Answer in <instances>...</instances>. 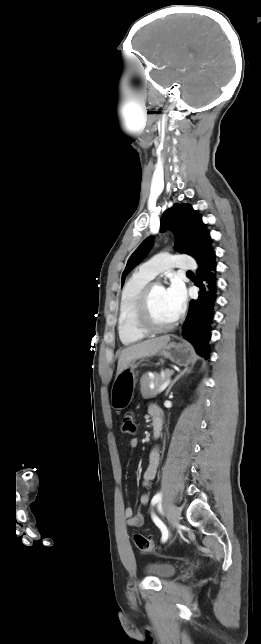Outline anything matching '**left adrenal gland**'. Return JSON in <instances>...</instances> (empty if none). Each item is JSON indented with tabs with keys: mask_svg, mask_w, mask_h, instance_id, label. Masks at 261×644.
I'll list each match as a JSON object with an SVG mask.
<instances>
[{
	"mask_svg": "<svg viewBox=\"0 0 261 644\" xmlns=\"http://www.w3.org/2000/svg\"><path fill=\"white\" fill-rule=\"evenodd\" d=\"M190 372H191V369H188V368H185L182 372H180V373H179V374L174 378V380H172V382L170 383V385H169L168 389L166 390V394H165V395L167 396V395L169 394V392H170L171 388L173 387V385H174V384H175V383H176V382H177V381H178V380H179V379H180L184 374H188V373H190Z\"/></svg>",
	"mask_w": 261,
	"mask_h": 644,
	"instance_id": "obj_1",
	"label": "left adrenal gland"
}]
</instances>
